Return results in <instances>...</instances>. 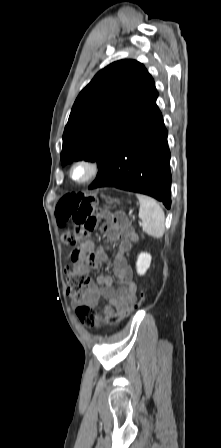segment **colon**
Listing matches in <instances>:
<instances>
[{
    "label": "colon",
    "mask_w": 221,
    "mask_h": 448,
    "mask_svg": "<svg viewBox=\"0 0 221 448\" xmlns=\"http://www.w3.org/2000/svg\"><path fill=\"white\" fill-rule=\"evenodd\" d=\"M97 205V198L94 195H85L83 193H70L63 196L56 207V217L58 224L63 226L70 223L73 226L74 234L81 238L87 237L95 229L97 220L94 212ZM117 223H124L120 217H115ZM67 293L71 300L76 304L75 313L78 319L86 324L94 326L96 323L93 310L82 304L83 290L88 284V277L80 272L74 264H69L64 270ZM144 292L141 290L138 297L132 302L126 313L130 314L136 311L144 301ZM117 320L115 315H109L105 321L114 323Z\"/></svg>",
    "instance_id": "5ec220e1"
}]
</instances>
